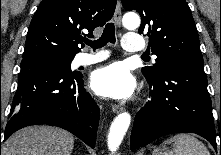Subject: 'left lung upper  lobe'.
Segmentation results:
<instances>
[{"label": "left lung upper lobe", "mask_w": 221, "mask_h": 155, "mask_svg": "<svg viewBox=\"0 0 221 155\" xmlns=\"http://www.w3.org/2000/svg\"><path fill=\"white\" fill-rule=\"evenodd\" d=\"M126 10H136L139 33L149 37L156 63L142 68L146 79H157L175 64L203 65L197 29L185 0H121Z\"/></svg>", "instance_id": "obj_1"}]
</instances>
